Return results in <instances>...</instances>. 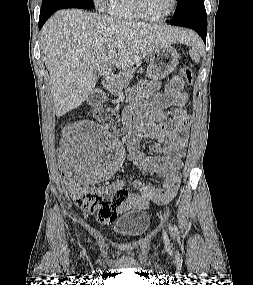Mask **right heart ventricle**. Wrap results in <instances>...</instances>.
Instances as JSON below:
<instances>
[{
	"label": "right heart ventricle",
	"mask_w": 253,
	"mask_h": 285,
	"mask_svg": "<svg viewBox=\"0 0 253 285\" xmlns=\"http://www.w3.org/2000/svg\"><path fill=\"white\" fill-rule=\"evenodd\" d=\"M106 12L114 19L124 21L141 20L134 0H107Z\"/></svg>",
	"instance_id": "1"
}]
</instances>
